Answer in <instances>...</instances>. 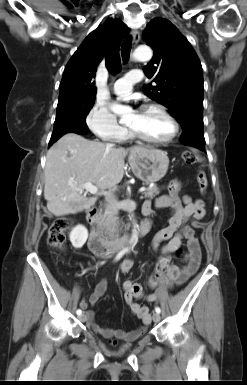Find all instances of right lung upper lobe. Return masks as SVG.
<instances>
[{
	"mask_svg": "<svg viewBox=\"0 0 247 385\" xmlns=\"http://www.w3.org/2000/svg\"><path fill=\"white\" fill-rule=\"evenodd\" d=\"M129 28L119 19H109L103 26L91 32L66 65L60 84L59 96L75 94L95 96L93 81L98 64L106 60V67L111 72H118L121 67L119 48Z\"/></svg>",
	"mask_w": 247,
	"mask_h": 385,
	"instance_id": "cb5924a9",
	"label": "right lung upper lobe"
}]
</instances>
